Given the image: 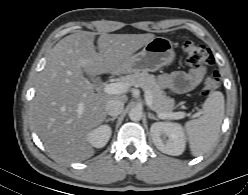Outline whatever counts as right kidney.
<instances>
[{"label":"right kidney","mask_w":248,"mask_h":195,"mask_svg":"<svg viewBox=\"0 0 248 195\" xmlns=\"http://www.w3.org/2000/svg\"><path fill=\"white\" fill-rule=\"evenodd\" d=\"M111 133V128L108 125H101L87 135V140L92 146L102 148L109 141Z\"/></svg>","instance_id":"ca27d5eb"}]
</instances>
